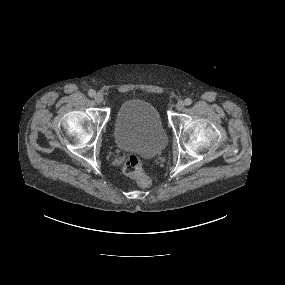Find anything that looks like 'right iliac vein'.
<instances>
[{
	"instance_id": "right-iliac-vein-1",
	"label": "right iliac vein",
	"mask_w": 285,
	"mask_h": 285,
	"mask_svg": "<svg viewBox=\"0 0 285 285\" xmlns=\"http://www.w3.org/2000/svg\"><path fill=\"white\" fill-rule=\"evenodd\" d=\"M104 100V97L101 93H97L95 95V102L98 103V104H101Z\"/></svg>"
}]
</instances>
